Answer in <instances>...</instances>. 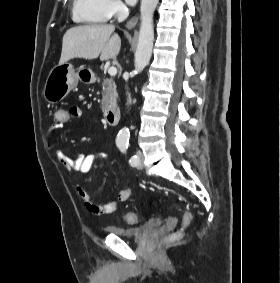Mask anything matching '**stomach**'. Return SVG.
Instances as JSON below:
<instances>
[{
	"label": "stomach",
	"instance_id": "1",
	"mask_svg": "<svg viewBox=\"0 0 280 283\" xmlns=\"http://www.w3.org/2000/svg\"><path fill=\"white\" fill-rule=\"evenodd\" d=\"M90 80V71L85 68L75 70L71 64H58L49 72L44 89V99L49 103L62 101L79 81Z\"/></svg>",
	"mask_w": 280,
	"mask_h": 283
}]
</instances>
